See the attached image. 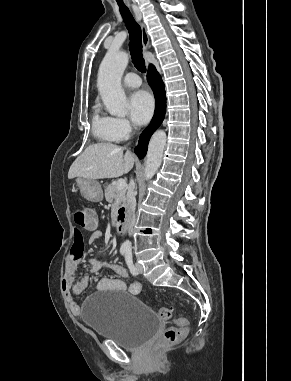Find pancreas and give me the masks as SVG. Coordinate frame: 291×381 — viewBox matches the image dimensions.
Returning <instances> with one entry per match:
<instances>
[{
	"mask_svg": "<svg viewBox=\"0 0 291 381\" xmlns=\"http://www.w3.org/2000/svg\"><path fill=\"white\" fill-rule=\"evenodd\" d=\"M125 194V189L119 190L114 184L105 187V198L106 201L111 204V218L113 223L116 221L117 211L120 205L125 202Z\"/></svg>",
	"mask_w": 291,
	"mask_h": 381,
	"instance_id": "cf45deb5",
	"label": "pancreas"
}]
</instances>
